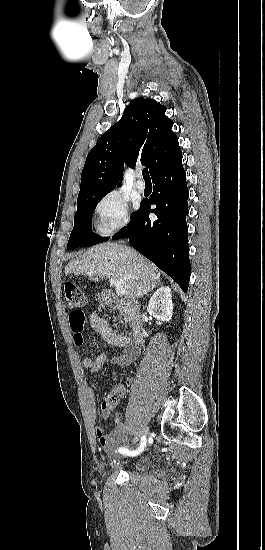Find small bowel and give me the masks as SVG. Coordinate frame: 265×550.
Segmentation results:
<instances>
[{
    "mask_svg": "<svg viewBox=\"0 0 265 550\" xmlns=\"http://www.w3.org/2000/svg\"><path fill=\"white\" fill-rule=\"evenodd\" d=\"M90 328L93 332L100 334L110 345L123 348L124 352L122 355L116 356L113 358V362L121 365L130 364L137 356L138 349L132 346V341L129 337L120 334L110 328L108 323L98 317L95 314H92L89 318ZM83 339V331L80 334V339ZM108 359L106 353L98 355L95 359L85 358L83 360V366L91 371L92 373H98L105 362ZM97 386H92L88 389V398L91 402L93 408V415L96 417L95 412V396H96ZM102 414L105 415L107 408L103 405L101 406ZM126 427L127 424L120 418H116V427L110 432L105 433L100 427L95 428V435L98 439L99 444L105 451H109L114 445L122 443L126 440Z\"/></svg>",
    "mask_w": 265,
    "mask_h": 550,
    "instance_id": "small-bowel-1",
    "label": "small bowel"
}]
</instances>
